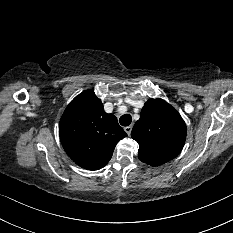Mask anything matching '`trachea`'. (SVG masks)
<instances>
[{"mask_svg": "<svg viewBox=\"0 0 233 233\" xmlns=\"http://www.w3.org/2000/svg\"><path fill=\"white\" fill-rule=\"evenodd\" d=\"M119 122L122 126H129L132 122V117L130 114H125L120 117Z\"/></svg>", "mask_w": 233, "mask_h": 233, "instance_id": "trachea-1", "label": "trachea"}]
</instances>
